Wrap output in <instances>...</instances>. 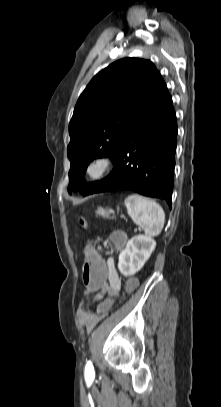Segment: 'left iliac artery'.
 <instances>
[{"label":"left iliac artery","instance_id":"1","mask_svg":"<svg viewBox=\"0 0 221 407\" xmlns=\"http://www.w3.org/2000/svg\"><path fill=\"white\" fill-rule=\"evenodd\" d=\"M95 375L94 367L91 361H88L85 366V378H93Z\"/></svg>","mask_w":221,"mask_h":407}]
</instances>
